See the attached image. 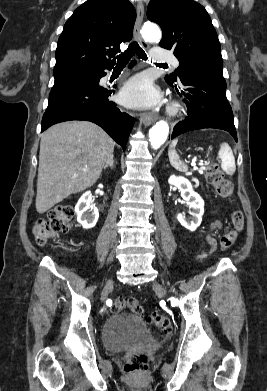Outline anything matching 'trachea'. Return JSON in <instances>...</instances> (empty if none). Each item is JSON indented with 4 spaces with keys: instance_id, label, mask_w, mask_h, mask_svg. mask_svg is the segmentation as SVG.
Returning <instances> with one entry per match:
<instances>
[{
    "instance_id": "trachea-1",
    "label": "trachea",
    "mask_w": 267,
    "mask_h": 391,
    "mask_svg": "<svg viewBox=\"0 0 267 391\" xmlns=\"http://www.w3.org/2000/svg\"><path fill=\"white\" fill-rule=\"evenodd\" d=\"M135 54L142 60H147V55L145 51L139 46V44L136 41H133L129 45L127 50L124 53H121L117 57V65H126ZM156 65L166 66L167 64L156 63Z\"/></svg>"
}]
</instances>
